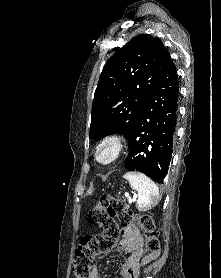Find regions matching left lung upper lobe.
Listing matches in <instances>:
<instances>
[{
	"instance_id": "1",
	"label": "left lung upper lobe",
	"mask_w": 221,
	"mask_h": 278,
	"mask_svg": "<svg viewBox=\"0 0 221 278\" xmlns=\"http://www.w3.org/2000/svg\"><path fill=\"white\" fill-rule=\"evenodd\" d=\"M106 62L94 94L89 138L120 133L126 138L171 60L163 43L140 34Z\"/></svg>"
}]
</instances>
